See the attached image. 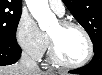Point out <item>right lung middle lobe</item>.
Returning a JSON list of instances; mask_svg holds the SVG:
<instances>
[{
    "label": "right lung middle lobe",
    "mask_w": 102,
    "mask_h": 75,
    "mask_svg": "<svg viewBox=\"0 0 102 75\" xmlns=\"http://www.w3.org/2000/svg\"><path fill=\"white\" fill-rule=\"evenodd\" d=\"M22 7L0 4V41L17 43L16 29Z\"/></svg>",
    "instance_id": "obj_1"
}]
</instances>
